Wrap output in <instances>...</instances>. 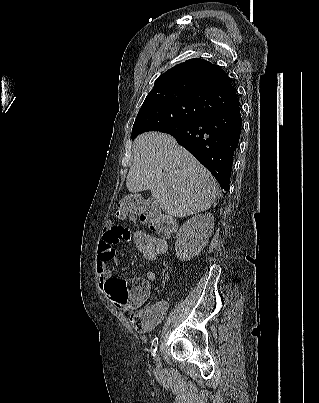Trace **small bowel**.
<instances>
[{"instance_id":"1","label":"small bowel","mask_w":319,"mask_h":403,"mask_svg":"<svg viewBox=\"0 0 319 403\" xmlns=\"http://www.w3.org/2000/svg\"><path fill=\"white\" fill-rule=\"evenodd\" d=\"M132 237L133 230L128 229L126 224H107L99 235L95 268L99 284L108 294L111 308L119 309L128 329H133L134 335H149L169 309L167 301L143 307L151 294V285H147V282L152 283L156 279V272L150 271L146 282L145 279H117L109 269V262L115 254H119L121 245H127V238Z\"/></svg>"}]
</instances>
